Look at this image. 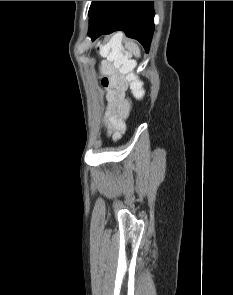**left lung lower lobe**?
Returning <instances> with one entry per match:
<instances>
[{
  "instance_id": "1",
  "label": "left lung lower lobe",
  "mask_w": 233,
  "mask_h": 295,
  "mask_svg": "<svg viewBox=\"0 0 233 295\" xmlns=\"http://www.w3.org/2000/svg\"><path fill=\"white\" fill-rule=\"evenodd\" d=\"M89 36L122 30L148 52L154 32L153 1H95L89 12Z\"/></svg>"
}]
</instances>
